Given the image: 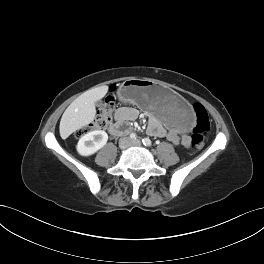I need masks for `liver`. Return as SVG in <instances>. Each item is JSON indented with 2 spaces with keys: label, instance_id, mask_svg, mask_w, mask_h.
<instances>
[{
  "label": "liver",
  "instance_id": "6515ba94",
  "mask_svg": "<svg viewBox=\"0 0 264 264\" xmlns=\"http://www.w3.org/2000/svg\"><path fill=\"white\" fill-rule=\"evenodd\" d=\"M107 91L108 86L90 89L67 107L60 121V136L63 139L94 120L96 115L95 102L102 99Z\"/></svg>",
  "mask_w": 264,
  "mask_h": 264
}]
</instances>
